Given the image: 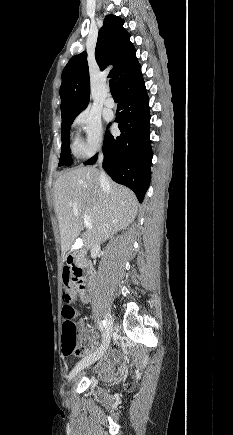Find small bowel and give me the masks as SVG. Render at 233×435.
Returning <instances> with one entry per match:
<instances>
[{
  "mask_svg": "<svg viewBox=\"0 0 233 435\" xmlns=\"http://www.w3.org/2000/svg\"><path fill=\"white\" fill-rule=\"evenodd\" d=\"M74 296L73 291L69 290V289H65L63 291V297L66 298H72ZM78 343L81 347L84 348V352H83V356L88 354L89 352H91L94 347L96 346V342L93 340V336H92V332L88 329V327L86 326L85 322L83 320H80L78 322ZM118 360L117 355L115 354H110L107 356L106 359H104V361H102L99 364V368L105 372L108 373L109 372V368L110 365L113 364L114 362H116Z\"/></svg>",
  "mask_w": 233,
  "mask_h": 435,
  "instance_id": "c3829d8e",
  "label": "small bowel"
}]
</instances>
